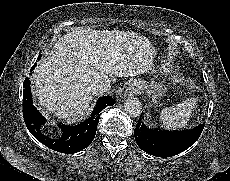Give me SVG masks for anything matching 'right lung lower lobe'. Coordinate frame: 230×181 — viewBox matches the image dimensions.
<instances>
[{
    "label": "right lung lower lobe",
    "mask_w": 230,
    "mask_h": 181,
    "mask_svg": "<svg viewBox=\"0 0 230 181\" xmlns=\"http://www.w3.org/2000/svg\"><path fill=\"white\" fill-rule=\"evenodd\" d=\"M40 57L41 55L38 59ZM35 66L36 63L31 71ZM23 87V117L28 130L42 144L61 153L72 154L89 146L96 134L100 112L105 107L112 106L115 103V100L110 96L102 97L98 100L91 116L85 122L76 126L60 125L63 133L62 137L51 139L42 132L41 126L45 123V119L32 104L29 78L25 79Z\"/></svg>",
    "instance_id": "1"
}]
</instances>
